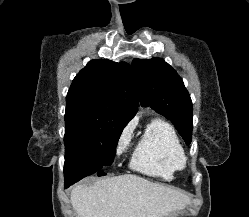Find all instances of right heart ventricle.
Segmentation results:
<instances>
[{
  "label": "right heart ventricle",
  "mask_w": 249,
  "mask_h": 217,
  "mask_svg": "<svg viewBox=\"0 0 249 217\" xmlns=\"http://www.w3.org/2000/svg\"><path fill=\"white\" fill-rule=\"evenodd\" d=\"M186 162L183 145L175 129L155 118L147 125L131 158V167L165 181L175 179Z\"/></svg>",
  "instance_id": "e07e8e85"
}]
</instances>
